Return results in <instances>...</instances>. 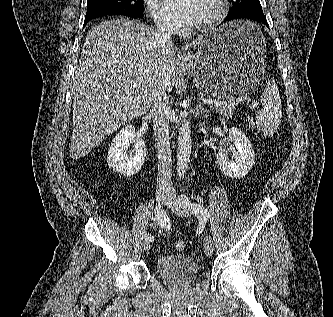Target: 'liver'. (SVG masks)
Returning a JSON list of instances; mask_svg holds the SVG:
<instances>
[{
    "instance_id": "6515ba94",
    "label": "liver",
    "mask_w": 333,
    "mask_h": 317,
    "mask_svg": "<svg viewBox=\"0 0 333 317\" xmlns=\"http://www.w3.org/2000/svg\"><path fill=\"white\" fill-rule=\"evenodd\" d=\"M177 65L174 44L149 26L129 19L94 26L73 77L71 158L86 156L120 126L144 115L160 88L174 87Z\"/></svg>"
}]
</instances>
